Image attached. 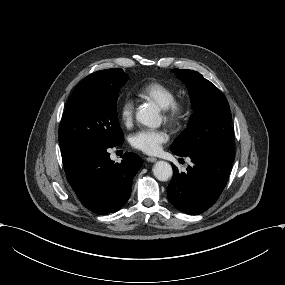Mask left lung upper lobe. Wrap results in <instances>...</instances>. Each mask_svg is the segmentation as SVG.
<instances>
[{
  "instance_id": "obj_1",
  "label": "left lung upper lobe",
  "mask_w": 285,
  "mask_h": 285,
  "mask_svg": "<svg viewBox=\"0 0 285 285\" xmlns=\"http://www.w3.org/2000/svg\"><path fill=\"white\" fill-rule=\"evenodd\" d=\"M172 72L188 87L194 113L188 127L172 143L171 151L187 156L210 147H234L231 112L222 92L196 71L173 69Z\"/></svg>"
}]
</instances>
